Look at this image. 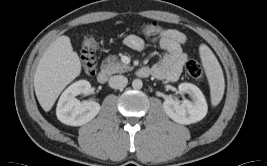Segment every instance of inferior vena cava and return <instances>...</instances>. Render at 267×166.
<instances>
[{"label": "inferior vena cava", "instance_id": "602c4592", "mask_svg": "<svg viewBox=\"0 0 267 166\" xmlns=\"http://www.w3.org/2000/svg\"><path fill=\"white\" fill-rule=\"evenodd\" d=\"M127 83L128 79L123 75H115L109 79V86L114 89H122Z\"/></svg>", "mask_w": 267, "mask_h": 166}]
</instances>
